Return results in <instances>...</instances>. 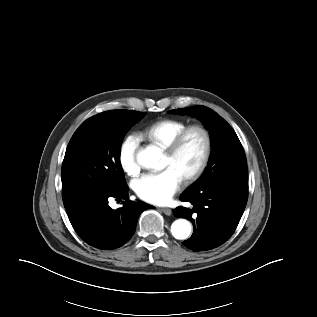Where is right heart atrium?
Returning a JSON list of instances; mask_svg holds the SVG:
<instances>
[{"mask_svg": "<svg viewBox=\"0 0 317 317\" xmlns=\"http://www.w3.org/2000/svg\"><path fill=\"white\" fill-rule=\"evenodd\" d=\"M138 149L139 139L135 135L125 137L119 147V165L126 174L131 176L136 175L140 169L137 158Z\"/></svg>", "mask_w": 317, "mask_h": 317, "instance_id": "right-heart-atrium-1", "label": "right heart atrium"}]
</instances>
